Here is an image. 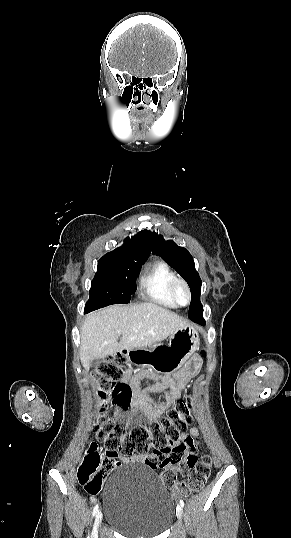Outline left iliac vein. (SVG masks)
Here are the masks:
<instances>
[{"label":"left iliac vein","mask_w":291,"mask_h":538,"mask_svg":"<svg viewBox=\"0 0 291 538\" xmlns=\"http://www.w3.org/2000/svg\"><path fill=\"white\" fill-rule=\"evenodd\" d=\"M176 515H177V518L179 520L182 519V515H183V510H182V507L179 505L177 506V509H176Z\"/></svg>","instance_id":"obj_1"}]
</instances>
